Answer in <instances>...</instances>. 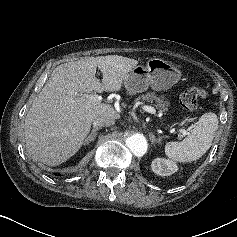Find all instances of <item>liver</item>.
Masks as SVG:
<instances>
[{"mask_svg": "<svg viewBox=\"0 0 237 237\" xmlns=\"http://www.w3.org/2000/svg\"><path fill=\"white\" fill-rule=\"evenodd\" d=\"M138 61L118 55L87 57L57 66L27 112L24 135L27 152L56 166L84 144L99 116L119 118L110 104L92 101L89 93L120 91ZM97 68L103 79L95 77Z\"/></svg>", "mask_w": 237, "mask_h": 237, "instance_id": "obj_1", "label": "liver"}]
</instances>
